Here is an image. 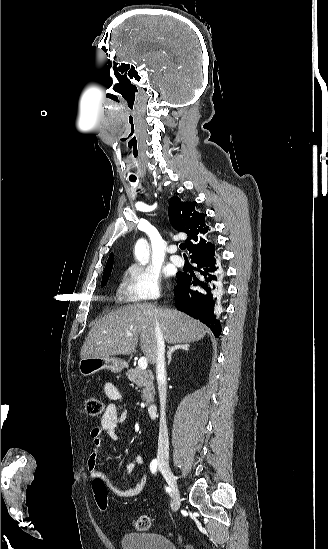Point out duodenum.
Instances as JSON below:
<instances>
[{
	"mask_svg": "<svg viewBox=\"0 0 328 549\" xmlns=\"http://www.w3.org/2000/svg\"><path fill=\"white\" fill-rule=\"evenodd\" d=\"M147 411L151 417H156L158 412V407L156 404L151 403L147 406Z\"/></svg>",
	"mask_w": 328,
	"mask_h": 549,
	"instance_id": "1",
	"label": "duodenum"
}]
</instances>
